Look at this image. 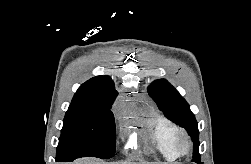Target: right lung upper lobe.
Listing matches in <instances>:
<instances>
[{"label": "right lung upper lobe", "mask_w": 251, "mask_h": 164, "mask_svg": "<svg viewBox=\"0 0 251 164\" xmlns=\"http://www.w3.org/2000/svg\"><path fill=\"white\" fill-rule=\"evenodd\" d=\"M117 94L109 76H96L78 88L72 101L112 106Z\"/></svg>", "instance_id": "right-lung-upper-lobe-1"}]
</instances>
